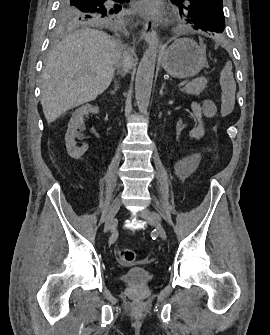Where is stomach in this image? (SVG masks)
<instances>
[{
	"mask_svg": "<svg viewBox=\"0 0 270 335\" xmlns=\"http://www.w3.org/2000/svg\"><path fill=\"white\" fill-rule=\"evenodd\" d=\"M162 68L173 78H190L208 66L204 44L191 38H179L162 50Z\"/></svg>",
	"mask_w": 270,
	"mask_h": 335,
	"instance_id": "1",
	"label": "stomach"
}]
</instances>
